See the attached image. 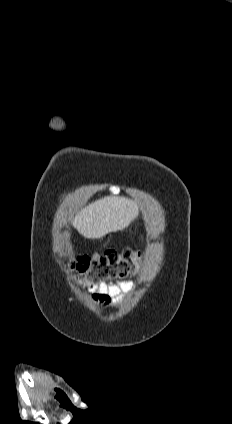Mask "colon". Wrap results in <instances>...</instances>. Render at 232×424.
Listing matches in <instances>:
<instances>
[{"label": "colon", "instance_id": "obj_1", "mask_svg": "<svg viewBox=\"0 0 232 424\" xmlns=\"http://www.w3.org/2000/svg\"><path fill=\"white\" fill-rule=\"evenodd\" d=\"M143 257V253L130 248L120 252L107 250L75 257L70 261V269L79 283L92 285L136 275Z\"/></svg>", "mask_w": 232, "mask_h": 424}]
</instances>
